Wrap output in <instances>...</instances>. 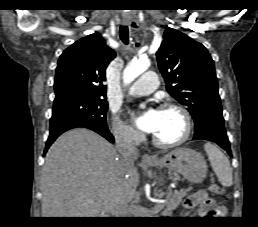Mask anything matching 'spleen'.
<instances>
[{"instance_id": "1", "label": "spleen", "mask_w": 258, "mask_h": 227, "mask_svg": "<svg viewBox=\"0 0 258 227\" xmlns=\"http://www.w3.org/2000/svg\"><path fill=\"white\" fill-rule=\"evenodd\" d=\"M204 150L218 180L224 187H230L233 184V177L228 158L210 142L204 144Z\"/></svg>"}]
</instances>
